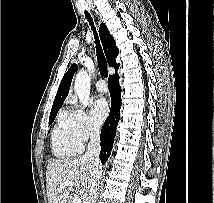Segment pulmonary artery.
Instances as JSON below:
<instances>
[{
  "label": "pulmonary artery",
  "instance_id": "obj_1",
  "mask_svg": "<svg viewBox=\"0 0 214 203\" xmlns=\"http://www.w3.org/2000/svg\"><path fill=\"white\" fill-rule=\"evenodd\" d=\"M96 89L98 92L104 93L107 91V85L103 80H99L96 82Z\"/></svg>",
  "mask_w": 214,
  "mask_h": 203
}]
</instances>
